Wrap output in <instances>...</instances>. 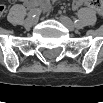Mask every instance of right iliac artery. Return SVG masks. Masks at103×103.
<instances>
[{
  "instance_id": "obj_1",
  "label": "right iliac artery",
  "mask_w": 103,
  "mask_h": 103,
  "mask_svg": "<svg viewBox=\"0 0 103 103\" xmlns=\"http://www.w3.org/2000/svg\"><path fill=\"white\" fill-rule=\"evenodd\" d=\"M41 13V10L38 9V8H35V9H31L29 12H28V17L29 18H34V17H37L39 16Z\"/></svg>"
}]
</instances>
